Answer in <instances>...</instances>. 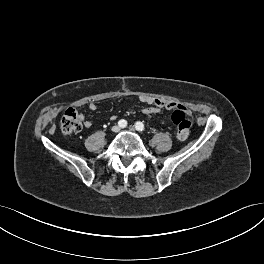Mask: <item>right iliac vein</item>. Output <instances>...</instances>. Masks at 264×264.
I'll use <instances>...</instances> for the list:
<instances>
[{
	"instance_id": "1",
	"label": "right iliac vein",
	"mask_w": 264,
	"mask_h": 264,
	"mask_svg": "<svg viewBox=\"0 0 264 264\" xmlns=\"http://www.w3.org/2000/svg\"><path fill=\"white\" fill-rule=\"evenodd\" d=\"M112 131H113L114 133H117V132L120 131V127L117 126V125H115V126L112 127Z\"/></svg>"
}]
</instances>
